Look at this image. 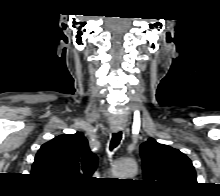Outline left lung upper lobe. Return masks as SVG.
Instances as JSON below:
<instances>
[{
  "instance_id": "5c2ea615",
  "label": "left lung upper lobe",
  "mask_w": 220,
  "mask_h": 196,
  "mask_svg": "<svg viewBox=\"0 0 220 196\" xmlns=\"http://www.w3.org/2000/svg\"><path fill=\"white\" fill-rule=\"evenodd\" d=\"M146 182L162 193L177 194L196 185L191 160L182 152L149 138L140 146Z\"/></svg>"
}]
</instances>
